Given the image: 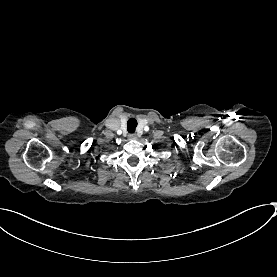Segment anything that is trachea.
<instances>
[{
  "mask_svg": "<svg viewBox=\"0 0 277 277\" xmlns=\"http://www.w3.org/2000/svg\"><path fill=\"white\" fill-rule=\"evenodd\" d=\"M137 127V120L135 118H130L127 121V130L129 133H135V129Z\"/></svg>",
  "mask_w": 277,
  "mask_h": 277,
  "instance_id": "obj_1",
  "label": "trachea"
}]
</instances>
